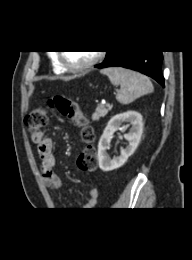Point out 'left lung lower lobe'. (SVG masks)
<instances>
[{
	"mask_svg": "<svg viewBox=\"0 0 192 260\" xmlns=\"http://www.w3.org/2000/svg\"><path fill=\"white\" fill-rule=\"evenodd\" d=\"M162 51L161 50H124L110 51L105 60L95 65L96 68L124 67L139 71L156 80L164 87L162 75Z\"/></svg>",
	"mask_w": 192,
	"mask_h": 260,
	"instance_id": "left-lung-lower-lobe-1",
	"label": "left lung lower lobe"
}]
</instances>
